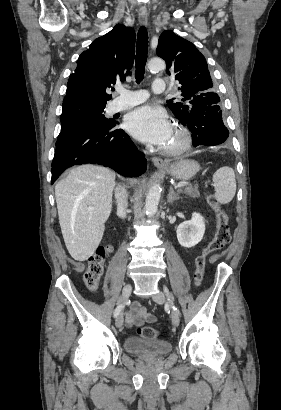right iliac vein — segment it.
Segmentation results:
<instances>
[{
  "label": "right iliac vein",
  "mask_w": 281,
  "mask_h": 410,
  "mask_svg": "<svg viewBox=\"0 0 281 410\" xmlns=\"http://www.w3.org/2000/svg\"><path fill=\"white\" fill-rule=\"evenodd\" d=\"M131 292H132V285L131 284L125 285L122 290L121 302H125L130 297ZM115 324L117 328L119 329L122 328L123 314L121 312L116 316Z\"/></svg>",
  "instance_id": "1"
}]
</instances>
